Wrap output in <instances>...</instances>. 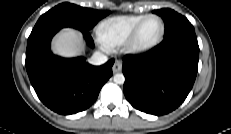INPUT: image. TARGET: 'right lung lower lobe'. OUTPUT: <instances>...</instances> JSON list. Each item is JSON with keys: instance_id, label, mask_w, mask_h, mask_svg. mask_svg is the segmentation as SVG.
Returning <instances> with one entry per match:
<instances>
[{"instance_id": "1", "label": "right lung lower lobe", "mask_w": 231, "mask_h": 134, "mask_svg": "<svg viewBox=\"0 0 231 134\" xmlns=\"http://www.w3.org/2000/svg\"><path fill=\"white\" fill-rule=\"evenodd\" d=\"M68 26L67 23H45L34 27L28 38L25 62L30 82L39 99L62 115L90 107L104 83L112 76L114 63L111 59L102 66H92L83 57L61 58L53 55L50 49L52 37ZM81 31L93 47L88 31Z\"/></svg>"}]
</instances>
